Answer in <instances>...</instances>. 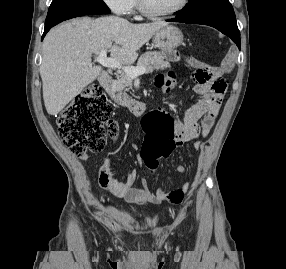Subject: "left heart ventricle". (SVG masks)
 <instances>
[{
	"label": "left heart ventricle",
	"mask_w": 286,
	"mask_h": 269,
	"mask_svg": "<svg viewBox=\"0 0 286 269\" xmlns=\"http://www.w3.org/2000/svg\"><path fill=\"white\" fill-rule=\"evenodd\" d=\"M149 10L153 12H166L175 8L181 0H144Z\"/></svg>",
	"instance_id": "obj_1"
}]
</instances>
